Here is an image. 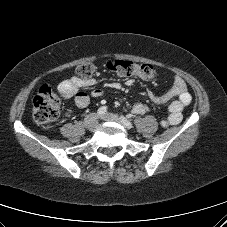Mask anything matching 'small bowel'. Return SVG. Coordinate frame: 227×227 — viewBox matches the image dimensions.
Returning a JSON list of instances; mask_svg holds the SVG:
<instances>
[{
    "label": "small bowel",
    "instance_id": "c3829d8e",
    "mask_svg": "<svg viewBox=\"0 0 227 227\" xmlns=\"http://www.w3.org/2000/svg\"><path fill=\"white\" fill-rule=\"evenodd\" d=\"M133 82V79H127L125 83L130 86ZM94 84L95 80L92 78L74 76L62 81L58 85V92L64 99L69 100L73 98L78 107L84 108L89 104L90 97L87 93L81 91V89L92 87ZM103 94L104 91L101 88H94L90 93L94 98L101 97ZM150 98L154 104H163L170 99H175L168 107V117L163 122L164 126L178 124L182 120L184 108L188 106L192 100L185 81L179 76L174 78L173 84L169 90L161 95H151ZM148 110V104L134 103L132 105V113L134 114H145Z\"/></svg>",
    "mask_w": 227,
    "mask_h": 227
}]
</instances>
